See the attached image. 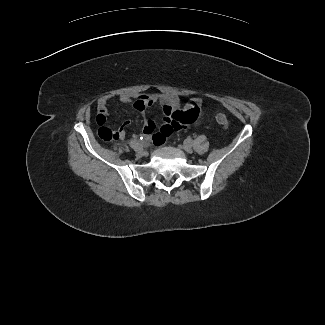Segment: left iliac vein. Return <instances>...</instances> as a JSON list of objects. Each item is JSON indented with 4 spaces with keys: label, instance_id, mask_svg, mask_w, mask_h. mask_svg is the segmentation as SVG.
<instances>
[{
    "label": "left iliac vein",
    "instance_id": "obj_1",
    "mask_svg": "<svg viewBox=\"0 0 325 325\" xmlns=\"http://www.w3.org/2000/svg\"><path fill=\"white\" fill-rule=\"evenodd\" d=\"M181 148H182L184 151H186L187 153H192V152H193L192 147H191L190 144H184V145L181 146Z\"/></svg>",
    "mask_w": 325,
    "mask_h": 325
}]
</instances>
